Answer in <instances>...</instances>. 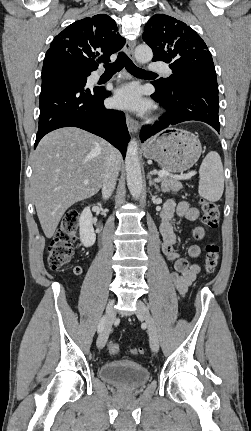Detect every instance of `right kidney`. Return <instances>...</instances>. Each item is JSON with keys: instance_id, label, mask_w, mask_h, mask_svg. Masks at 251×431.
<instances>
[{"instance_id": "ca27d5eb", "label": "right kidney", "mask_w": 251, "mask_h": 431, "mask_svg": "<svg viewBox=\"0 0 251 431\" xmlns=\"http://www.w3.org/2000/svg\"><path fill=\"white\" fill-rule=\"evenodd\" d=\"M79 234L83 246L91 247L96 240V234L92 225V213L89 207H86L79 219Z\"/></svg>"}]
</instances>
